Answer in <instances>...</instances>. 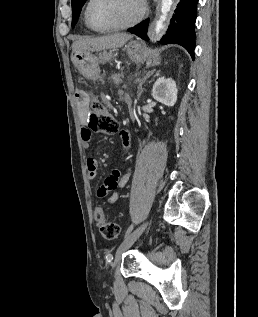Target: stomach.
<instances>
[{"instance_id": "stomach-1", "label": "stomach", "mask_w": 258, "mask_h": 317, "mask_svg": "<svg viewBox=\"0 0 258 317\" xmlns=\"http://www.w3.org/2000/svg\"><path fill=\"white\" fill-rule=\"evenodd\" d=\"M124 50H126L129 58L134 60V62H147V64H159L161 58L157 50H147L144 44L140 40H131L128 44H125ZM114 56L113 50H104V52H99L98 56L93 54V50H74L72 52L71 60L78 68L81 74L84 76H94V74H99L100 62H106Z\"/></svg>"}]
</instances>
